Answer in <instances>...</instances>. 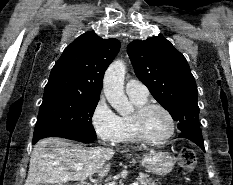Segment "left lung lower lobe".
Wrapping results in <instances>:
<instances>
[{
  "mask_svg": "<svg viewBox=\"0 0 233 185\" xmlns=\"http://www.w3.org/2000/svg\"><path fill=\"white\" fill-rule=\"evenodd\" d=\"M180 138H186L189 139L191 141H193L194 143H196L203 151H205L204 149V141H203V137H202V132L199 128H195V129H190L187 131L182 132L179 135Z\"/></svg>",
  "mask_w": 233,
  "mask_h": 185,
  "instance_id": "1",
  "label": "left lung lower lobe"
}]
</instances>
